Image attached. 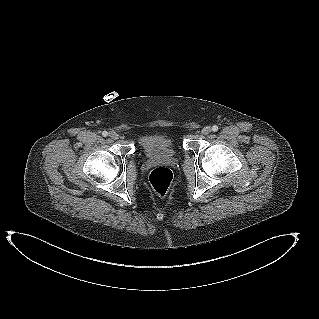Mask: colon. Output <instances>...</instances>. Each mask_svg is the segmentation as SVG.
Wrapping results in <instances>:
<instances>
[{
	"mask_svg": "<svg viewBox=\"0 0 319 319\" xmlns=\"http://www.w3.org/2000/svg\"><path fill=\"white\" fill-rule=\"evenodd\" d=\"M149 181L157 194L165 195L172 185L173 173L169 168L159 166L151 171Z\"/></svg>",
	"mask_w": 319,
	"mask_h": 319,
	"instance_id": "obj_1",
	"label": "colon"
}]
</instances>
